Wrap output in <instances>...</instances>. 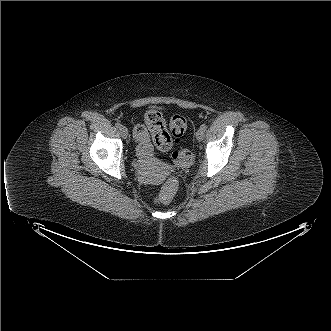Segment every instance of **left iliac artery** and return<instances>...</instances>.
<instances>
[{"label":"left iliac artery","instance_id":"1","mask_svg":"<svg viewBox=\"0 0 331 331\" xmlns=\"http://www.w3.org/2000/svg\"><path fill=\"white\" fill-rule=\"evenodd\" d=\"M201 129H202L203 131H206V129H207V125H206V124H203V125L201 126Z\"/></svg>","mask_w":331,"mask_h":331}]
</instances>
